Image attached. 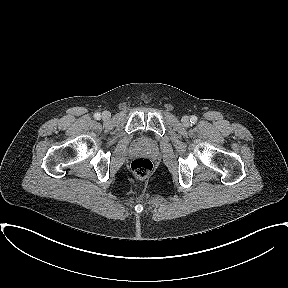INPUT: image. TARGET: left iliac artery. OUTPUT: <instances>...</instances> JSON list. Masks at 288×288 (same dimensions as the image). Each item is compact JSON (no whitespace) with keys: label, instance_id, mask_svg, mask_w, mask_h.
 <instances>
[{"label":"left iliac artery","instance_id":"44dca946","mask_svg":"<svg viewBox=\"0 0 288 288\" xmlns=\"http://www.w3.org/2000/svg\"><path fill=\"white\" fill-rule=\"evenodd\" d=\"M190 122L191 123H196L197 122V117L196 116H191Z\"/></svg>","mask_w":288,"mask_h":288}]
</instances>
